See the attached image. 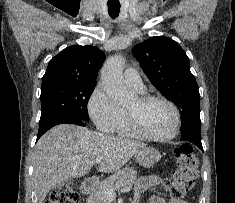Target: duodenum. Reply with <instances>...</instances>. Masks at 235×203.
I'll return each instance as SVG.
<instances>
[{"label":"duodenum","instance_id":"1","mask_svg":"<svg viewBox=\"0 0 235 203\" xmlns=\"http://www.w3.org/2000/svg\"><path fill=\"white\" fill-rule=\"evenodd\" d=\"M96 185H97V180L94 177L86 178L81 185L82 194L84 196H88L94 190ZM133 203H137V201L134 200Z\"/></svg>","mask_w":235,"mask_h":203}]
</instances>
